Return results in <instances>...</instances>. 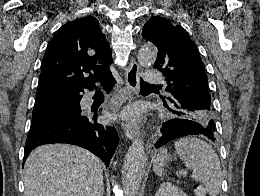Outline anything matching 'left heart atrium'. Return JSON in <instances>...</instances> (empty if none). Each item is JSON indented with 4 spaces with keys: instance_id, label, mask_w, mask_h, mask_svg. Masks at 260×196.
Instances as JSON below:
<instances>
[{
    "instance_id": "left-heart-atrium-1",
    "label": "left heart atrium",
    "mask_w": 260,
    "mask_h": 196,
    "mask_svg": "<svg viewBox=\"0 0 260 196\" xmlns=\"http://www.w3.org/2000/svg\"><path fill=\"white\" fill-rule=\"evenodd\" d=\"M124 117L129 120H137L140 116V110L137 105H131L124 111Z\"/></svg>"
}]
</instances>
